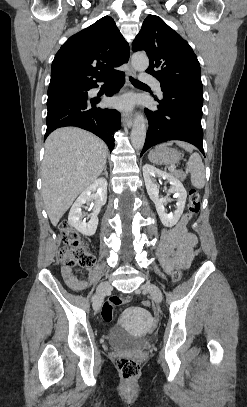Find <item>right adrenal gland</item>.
Wrapping results in <instances>:
<instances>
[{"label":"right adrenal gland","mask_w":247,"mask_h":407,"mask_svg":"<svg viewBox=\"0 0 247 407\" xmlns=\"http://www.w3.org/2000/svg\"><path fill=\"white\" fill-rule=\"evenodd\" d=\"M102 175H105V177L108 178V172L106 170V167L103 169Z\"/></svg>","instance_id":"right-adrenal-gland-1"}]
</instances>
